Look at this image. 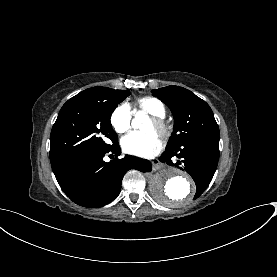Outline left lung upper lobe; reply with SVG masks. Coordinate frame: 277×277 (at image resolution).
<instances>
[{"label": "left lung upper lobe", "mask_w": 277, "mask_h": 277, "mask_svg": "<svg viewBox=\"0 0 277 277\" xmlns=\"http://www.w3.org/2000/svg\"><path fill=\"white\" fill-rule=\"evenodd\" d=\"M152 92L171 109L174 116V132L166 150L178 148L193 138L219 134L211 108L191 91L179 86H167Z\"/></svg>", "instance_id": "left-lung-upper-lobe-1"}]
</instances>
